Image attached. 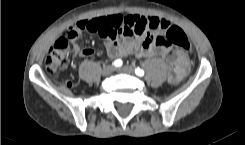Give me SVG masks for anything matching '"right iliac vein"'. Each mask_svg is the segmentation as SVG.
I'll return each mask as SVG.
<instances>
[{
	"mask_svg": "<svg viewBox=\"0 0 245 145\" xmlns=\"http://www.w3.org/2000/svg\"><path fill=\"white\" fill-rule=\"evenodd\" d=\"M114 70V66L113 65H107L103 68L102 74L103 75H110Z\"/></svg>",
	"mask_w": 245,
	"mask_h": 145,
	"instance_id": "63e3f726",
	"label": "right iliac vein"
}]
</instances>
